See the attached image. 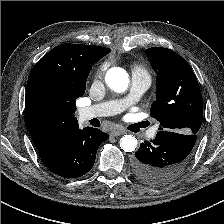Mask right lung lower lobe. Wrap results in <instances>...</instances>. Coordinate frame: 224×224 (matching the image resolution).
<instances>
[{
  "instance_id": "98d812e1",
  "label": "right lung lower lobe",
  "mask_w": 224,
  "mask_h": 224,
  "mask_svg": "<svg viewBox=\"0 0 224 224\" xmlns=\"http://www.w3.org/2000/svg\"><path fill=\"white\" fill-rule=\"evenodd\" d=\"M107 139L108 134L100 129L69 125L36 148L53 173L78 178L91 170L99 145Z\"/></svg>"
}]
</instances>
